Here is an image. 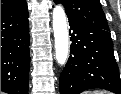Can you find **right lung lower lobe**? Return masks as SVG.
Returning a JSON list of instances; mask_svg holds the SVG:
<instances>
[{"instance_id":"obj_1","label":"right lung lower lobe","mask_w":121,"mask_h":94,"mask_svg":"<svg viewBox=\"0 0 121 94\" xmlns=\"http://www.w3.org/2000/svg\"><path fill=\"white\" fill-rule=\"evenodd\" d=\"M29 23L26 1L1 13V91L28 94Z\"/></svg>"}]
</instances>
